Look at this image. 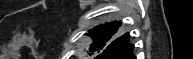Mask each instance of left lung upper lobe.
<instances>
[{
	"label": "left lung upper lobe",
	"instance_id": "1",
	"mask_svg": "<svg viewBox=\"0 0 193 59\" xmlns=\"http://www.w3.org/2000/svg\"><path fill=\"white\" fill-rule=\"evenodd\" d=\"M120 26L121 22L115 21L89 30L87 35L94 39L93 44L90 46V51L101 54L106 48L111 47L120 38L116 39ZM100 54L97 57H101Z\"/></svg>",
	"mask_w": 193,
	"mask_h": 59
}]
</instances>
